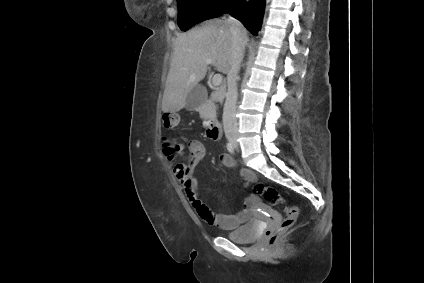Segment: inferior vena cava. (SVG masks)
<instances>
[{
    "mask_svg": "<svg viewBox=\"0 0 424 283\" xmlns=\"http://www.w3.org/2000/svg\"><path fill=\"white\" fill-rule=\"evenodd\" d=\"M228 24L232 34V54L230 60V69L227 75V93L223 109V128L228 137L238 130L236 119V102L238 98L237 80L240 65L244 56V50L247 43L246 31L240 21L234 17L228 18Z\"/></svg>",
    "mask_w": 424,
    "mask_h": 283,
    "instance_id": "1",
    "label": "inferior vena cava"
}]
</instances>
